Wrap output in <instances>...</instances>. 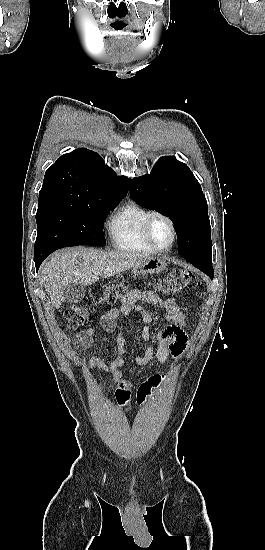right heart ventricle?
<instances>
[{
	"label": "right heart ventricle",
	"instance_id": "1",
	"mask_svg": "<svg viewBox=\"0 0 265 550\" xmlns=\"http://www.w3.org/2000/svg\"><path fill=\"white\" fill-rule=\"evenodd\" d=\"M152 211L130 202L119 209L108 222V233L112 244L126 252L153 253L155 250L143 235V224Z\"/></svg>",
	"mask_w": 265,
	"mask_h": 550
}]
</instances>
